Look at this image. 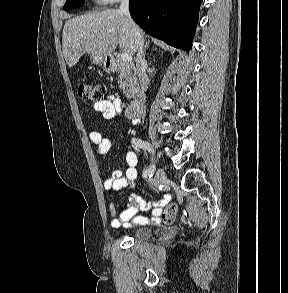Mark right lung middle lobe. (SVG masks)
<instances>
[{"label": "right lung middle lobe", "instance_id": "dd1d6c3e", "mask_svg": "<svg viewBox=\"0 0 288 293\" xmlns=\"http://www.w3.org/2000/svg\"><path fill=\"white\" fill-rule=\"evenodd\" d=\"M84 1L85 0H66V3L64 5V10H69V9L79 7L82 4H84Z\"/></svg>", "mask_w": 288, "mask_h": 293}]
</instances>
